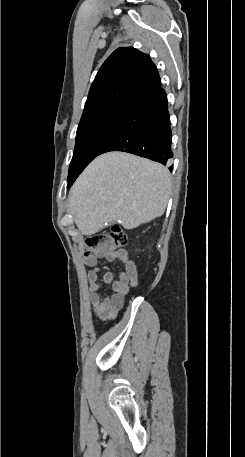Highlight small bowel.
Masks as SVG:
<instances>
[{
	"instance_id": "c3829d8e",
	"label": "small bowel",
	"mask_w": 245,
	"mask_h": 457,
	"mask_svg": "<svg viewBox=\"0 0 245 457\" xmlns=\"http://www.w3.org/2000/svg\"><path fill=\"white\" fill-rule=\"evenodd\" d=\"M106 261L118 262L122 270L117 278L106 267L98 266V257L90 256L84 259V264L91 269L87 273L89 285V300L96 317L102 321L115 318L122 309L125 298L130 290L138 284V270L135 262L128 253L121 249L103 257ZM102 272L101 277L99 273ZM111 285L112 293L100 297L99 291Z\"/></svg>"
}]
</instances>
